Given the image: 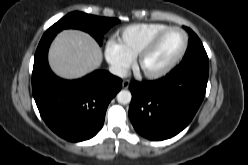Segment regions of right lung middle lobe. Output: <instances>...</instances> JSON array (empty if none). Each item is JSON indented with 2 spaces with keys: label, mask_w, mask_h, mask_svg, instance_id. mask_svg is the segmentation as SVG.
Returning <instances> with one entry per match:
<instances>
[{
  "label": "right lung middle lobe",
  "mask_w": 248,
  "mask_h": 165,
  "mask_svg": "<svg viewBox=\"0 0 248 165\" xmlns=\"http://www.w3.org/2000/svg\"><path fill=\"white\" fill-rule=\"evenodd\" d=\"M120 20L116 18H105L93 16L83 12H72L60 19L57 23L52 25L43 35H56L63 29L75 28L88 32L96 41L102 45V38L104 33Z\"/></svg>",
  "instance_id": "dd1d6c3e"
}]
</instances>
